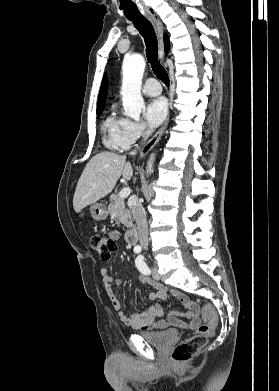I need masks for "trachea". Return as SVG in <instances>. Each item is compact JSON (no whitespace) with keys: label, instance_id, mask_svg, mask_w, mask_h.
<instances>
[{"label":"trachea","instance_id":"trachea-1","mask_svg":"<svg viewBox=\"0 0 279 391\" xmlns=\"http://www.w3.org/2000/svg\"><path fill=\"white\" fill-rule=\"evenodd\" d=\"M133 22L135 28L144 38L146 45V55L148 62L151 64L154 74L169 86V77L165 68L158 60V42L154 28L146 18H129Z\"/></svg>","mask_w":279,"mask_h":391}]
</instances>
